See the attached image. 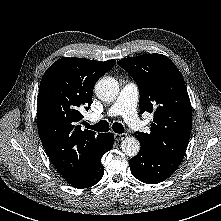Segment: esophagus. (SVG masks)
Instances as JSON below:
<instances>
[{
  "instance_id": "34e87169",
  "label": "esophagus",
  "mask_w": 221,
  "mask_h": 221,
  "mask_svg": "<svg viewBox=\"0 0 221 221\" xmlns=\"http://www.w3.org/2000/svg\"><path fill=\"white\" fill-rule=\"evenodd\" d=\"M127 135L125 133L123 134H118V133H115L114 134V137H115V140L116 141H120V140H123Z\"/></svg>"
}]
</instances>
